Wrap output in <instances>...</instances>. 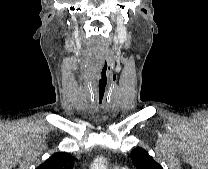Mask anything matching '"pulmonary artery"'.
<instances>
[{
    "mask_svg": "<svg viewBox=\"0 0 208 169\" xmlns=\"http://www.w3.org/2000/svg\"><path fill=\"white\" fill-rule=\"evenodd\" d=\"M114 169H128V167H125V166H118V167H115Z\"/></svg>",
    "mask_w": 208,
    "mask_h": 169,
    "instance_id": "1",
    "label": "pulmonary artery"
}]
</instances>
